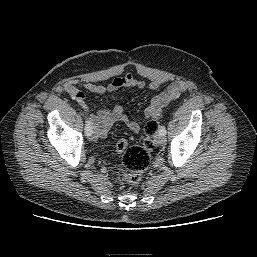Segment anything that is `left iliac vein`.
Segmentation results:
<instances>
[{"label": "left iliac vein", "mask_w": 257, "mask_h": 257, "mask_svg": "<svg viewBox=\"0 0 257 257\" xmlns=\"http://www.w3.org/2000/svg\"><path fill=\"white\" fill-rule=\"evenodd\" d=\"M156 139L159 144L164 145L166 143L165 135L161 134L160 132L157 134Z\"/></svg>", "instance_id": "4c4485c4"}]
</instances>
